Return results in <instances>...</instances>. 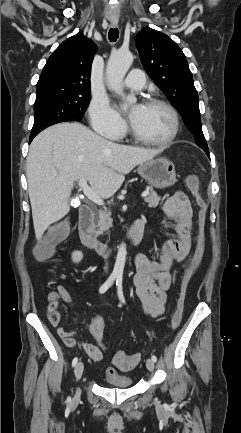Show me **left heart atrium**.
Wrapping results in <instances>:
<instances>
[{
	"mask_svg": "<svg viewBox=\"0 0 241 433\" xmlns=\"http://www.w3.org/2000/svg\"><path fill=\"white\" fill-rule=\"evenodd\" d=\"M140 106H141V105H140ZM140 106H138V107H140ZM135 117H136V111L131 112V113H130V121H131V123L134 121Z\"/></svg>",
	"mask_w": 241,
	"mask_h": 433,
	"instance_id": "1",
	"label": "left heart atrium"
}]
</instances>
